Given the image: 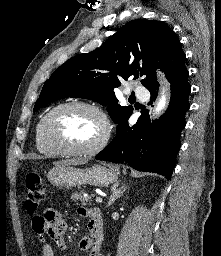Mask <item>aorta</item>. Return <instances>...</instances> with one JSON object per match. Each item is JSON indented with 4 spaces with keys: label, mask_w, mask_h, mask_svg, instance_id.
<instances>
[{
    "label": "aorta",
    "mask_w": 221,
    "mask_h": 256,
    "mask_svg": "<svg viewBox=\"0 0 221 256\" xmlns=\"http://www.w3.org/2000/svg\"><path fill=\"white\" fill-rule=\"evenodd\" d=\"M167 101H166V94L165 90L162 92L161 98L159 99V102L157 103V106L154 110V115H159L161 111L166 107Z\"/></svg>",
    "instance_id": "762f6f07"
}]
</instances>
